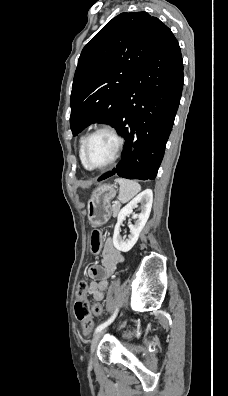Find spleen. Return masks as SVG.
Wrapping results in <instances>:
<instances>
[{
	"instance_id": "spleen-1",
	"label": "spleen",
	"mask_w": 228,
	"mask_h": 396,
	"mask_svg": "<svg viewBox=\"0 0 228 396\" xmlns=\"http://www.w3.org/2000/svg\"><path fill=\"white\" fill-rule=\"evenodd\" d=\"M115 182L120 185L119 200L121 203L128 202L141 190V186L133 180L116 178Z\"/></svg>"
}]
</instances>
